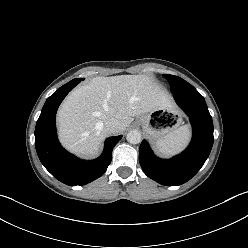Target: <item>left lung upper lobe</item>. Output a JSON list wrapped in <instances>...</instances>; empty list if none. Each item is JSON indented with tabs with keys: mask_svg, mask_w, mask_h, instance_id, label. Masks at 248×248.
<instances>
[{
	"mask_svg": "<svg viewBox=\"0 0 248 248\" xmlns=\"http://www.w3.org/2000/svg\"><path fill=\"white\" fill-rule=\"evenodd\" d=\"M169 82L171 86V92L174 95L177 94H191V93H197L198 91L188 82L183 80L180 77L174 76V75H163Z\"/></svg>",
	"mask_w": 248,
	"mask_h": 248,
	"instance_id": "1",
	"label": "left lung upper lobe"
}]
</instances>
